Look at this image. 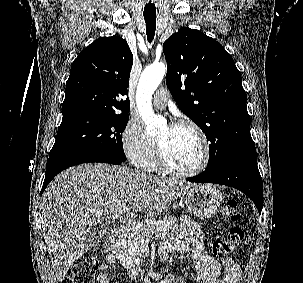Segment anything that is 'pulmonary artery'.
Wrapping results in <instances>:
<instances>
[{
	"label": "pulmonary artery",
	"mask_w": 303,
	"mask_h": 283,
	"mask_svg": "<svg viewBox=\"0 0 303 283\" xmlns=\"http://www.w3.org/2000/svg\"><path fill=\"white\" fill-rule=\"evenodd\" d=\"M169 100V91L166 88H160L156 91L153 104L158 109H164Z\"/></svg>",
	"instance_id": "1"
}]
</instances>
